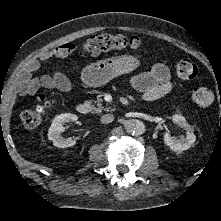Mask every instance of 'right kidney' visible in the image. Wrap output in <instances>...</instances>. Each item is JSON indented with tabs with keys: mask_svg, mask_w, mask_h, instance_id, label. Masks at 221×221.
<instances>
[{
	"mask_svg": "<svg viewBox=\"0 0 221 221\" xmlns=\"http://www.w3.org/2000/svg\"><path fill=\"white\" fill-rule=\"evenodd\" d=\"M78 117L71 113L60 114L56 116L48 131V139L53 141V145L59 148L72 147L76 144V140L64 138L61 132L64 131L63 125L67 122L76 121Z\"/></svg>",
	"mask_w": 221,
	"mask_h": 221,
	"instance_id": "1",
	"label": "right kidney"
}]
</instances>
